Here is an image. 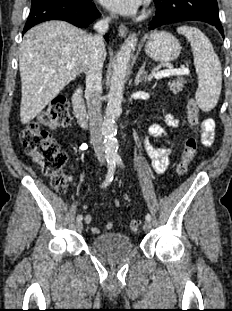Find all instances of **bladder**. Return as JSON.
I'll list each match as a JSON object with an SVG mask.
<instances>
[{
  "instance_id": "bladder-1",
  "label": "bladder",
  "mask_w": 232,
  "mask_h": 311,
  "mask_svg": "<svg viewBox=\"0 0 232 311\" xmlns=\"http://www.w3.org/2000/svg\"><path fill=\"white\" fill-rule=\"evenodd\" d=\"M91 249L107 260H117L127 256L133 249L129 236L118 232H107L94 237Z\"/></svg>"
}]
</instances>
